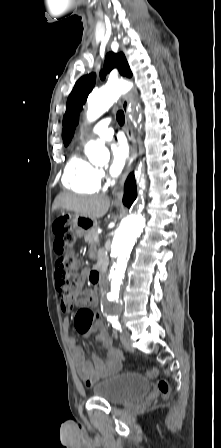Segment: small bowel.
<instances>
[{"label": "small bowel", "instance_id": "obj_1", "mask_svg": "<svg viewBox=\"0 0 221 448\" xmlns=\"http://www.w3.org/2000/svg\"><path fill=\"white\" fill-rule=\"evenodd\" d=\"M53 233L54 249L59 254L62 252L61 242L58 241L54 228ZM84 281V275L76 278L68 293H61L60 305L64 312H69L74 304L80 307V310L74 317V326L76 330L85 336L94 333L96 341L100 343L106 352L104 358L91 352V358L87 359L83 349L77 345L70 333V320L64 318L63 328L65 332V340L71 353L73 364L83 380H90L93 382L103 376L119 371L122 364V355L120 351L113 346V342L109 337L103 322L99 319H95V314L91 308L96 305L97 296L93 291L83 289ZM88 310L92 312V315L88 314ZM87 321H90L88 327H86Z\"/></svg>", "mask_w": 221, "mask_h": 448}]
</instances>
